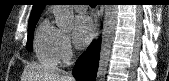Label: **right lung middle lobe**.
I'll list each match as a JSON object with an SVG mask.
<instances>
[{
    "label": "right lung middle lobe",
    "instance_id": "right-lung-middle-lobe-1",
    "mask_svg": "<svg viewBox=\"0 0 169 81\" xmlns=\"http://www.w3.org/2000/svg\"><path fill=\"white\" fill-rule=\"evenodd\" d=\"M38 20L30 22L28 25V39H27V49L28 51L32 52V41H33V33H34V28Z\"/></svg>",
    "mask_w": 169,
    "mask_h": 81
}]
</instances>
